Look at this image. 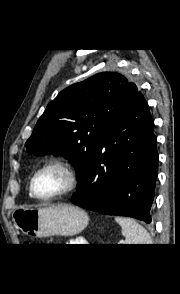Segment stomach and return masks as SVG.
<instances>
[{"label": "stomach", "instance_id": "1", "mask_svg": "<svg viewBox=\"0 0 180 294\" xmlns=\"http://www.w3.org/2000/svg\"><path fill=\"white\" fill-rule=\"evenodd\" d=\"M15 227L31 238L53 235L73 236L88 224L87 213L73 205L62 204L43 208H18L13 212Z\"/></svg>", "mask_w": 180, "mask_h": 294}]
</instances>
